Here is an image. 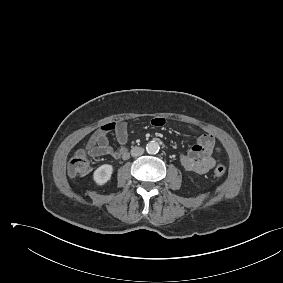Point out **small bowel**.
I'll return each instance as SVG.
<instances>
[{"mask_svg": "<svg viewBox=\"0 0 283 283\" xmlns=\"http://www.w3.org/2000/svg\"><path fill=\"white\" fill-rule=\"evenodd\" d=\"M165 120L161 117L152 119L154 126H163ZM114 132L118 147L114 149L108 141V133ZM127 124L122 121L110 122L101 126L90 138L88 151L93 157L112 156L117 159H126L129 156ZM219 151L212 135H201L196 144L187 152L181 153L179 160L187 170L198 174L207 173L211 170L216 160L214 155Z\"/></svg>", "mask_w": 283, "mask_h": 283, "instance_id": "obj_1", "label": "small bowel"}]
</instances>
